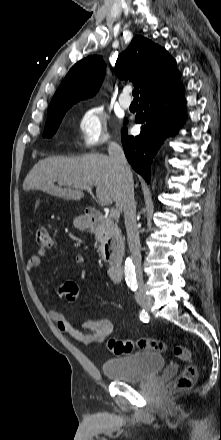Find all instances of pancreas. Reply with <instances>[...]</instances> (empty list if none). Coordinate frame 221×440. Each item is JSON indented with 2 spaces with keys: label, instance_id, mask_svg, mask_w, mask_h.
Listing matches in <instances>:
<instances>
[{
  "label": "pancreas",
  "instance_id": "obj_1",
  "mask_svg": "<svg viewBox=\"0 0 221 440\" xmlns=\"http://www.w3.org/2000/svg\"><path fill=\"white\" fill-rule=\"evenodd\" d=\"M96 241L100 243L99 250L101 251L109 239H113L115 243V251L117 259L120 260L124 254V242L121 231L116 223L111 218H107L104 225L95 231Z\"/></svg>",
  "mask_w": 221,
  "mask_h": 440
}]
</instances>
